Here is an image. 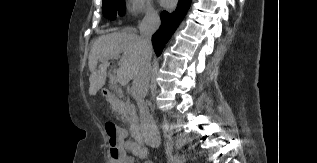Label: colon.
<instances>
[{
	"label": "colon",
	"mask_w": 317,
	"mask_h": 163,
	"mask_svg": "<svg viewBox=\"0 0 317 163\" xmlns=\"http://www.w3.org/2000/svg\"><path fill=\"white\" fill-rule=\"evenodd\" d=\"M105 128L111 146V156L114 159H119L122 156V152L117 148V145L120 141L118 130L113 124H107Z\"/></svg>",
	"instance_id": "colon-1"
}]
</instances>
